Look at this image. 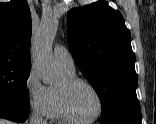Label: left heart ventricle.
I'll list each match as a JSON object with an SVG mask.
<instances>
[{
    "label": "left heart ventricle",
    "mask_w": 156,
    "mask_h": 124,
    "mask_svg": "<svg viewBox=\"0 0 156 124\" xmlns=\"http://www.w3.org/2000/svg\"><path fill=\"white\" fill-rule=\"evenodd\" d=\"M63 80L58 84L60 86ZM69 106L82 119L93 117L98 111V100L93 91L85 85H76L68 93Z\"/></svg>",
    "instance_id": "1"
}]
</instances>
